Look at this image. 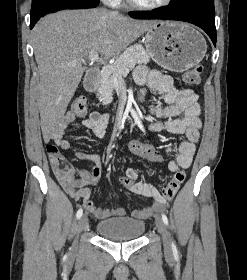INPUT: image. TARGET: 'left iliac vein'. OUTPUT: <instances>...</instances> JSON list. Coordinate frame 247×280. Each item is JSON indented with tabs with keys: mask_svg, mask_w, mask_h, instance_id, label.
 I'll list each match as a JSON object with an SVG mask.
<instances>
[{
	"mask_svg": "<svg viewBox=\"0 0 247 280\" xmlns=\"http://www.w3.org/2000/svg\"><path fill=\"white\" fill-rule=\"evenodd\" d=\"M155 222H156L157 229L162 236L163 245H164L165 250L170 251L171 242H170L169 233L167 231L165 223L163 222V220L160 217H156Z\"/></svg>",
	"mask_w": 247,
	"mask_h": 280,
	"instance_id": "1",
	"label": "left iliac vein"
}]
</instances>
